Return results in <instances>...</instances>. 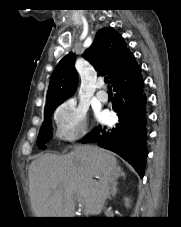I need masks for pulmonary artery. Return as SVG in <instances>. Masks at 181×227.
Segmentation results:
<instances>
[{"instance_id":"pulmonary-artery-1","label":"pulmonary artery","mask_w":181,"mask_h":227,"mask_svg":"<svg viewBox=\"0 0 181 227\" xmlns=\"http://www.w3.org/2000/svg\"><path fill=\"white\" fill-rule=\"evenodd\" d=\"M98 88H99V91L96 94L98 100H100L101 102H107L109 96H108V93L102 89L103 88L102 80L98 82Z\"/></svg>"}]
</instances>
